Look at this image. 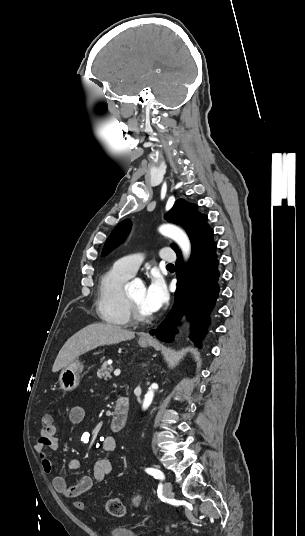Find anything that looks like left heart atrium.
<instances>
[{"label": "left heart atrium", "instance_id": "39dd6f15", "mask_svg": "<svg viewBox=\"0 0 305 536\" xmlns=\"http://www.w3.org/2000/svg\"><path fill=\"white\" fill-rule=\"evenodd\" d=\"M144 289V306L150 313H153L161 307L165 299L163 281L156 274H152Z\"/></svg>", "mask_w": 305, "mask_h": 536}]
</instances>
